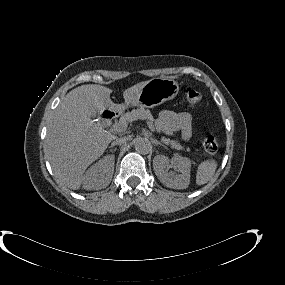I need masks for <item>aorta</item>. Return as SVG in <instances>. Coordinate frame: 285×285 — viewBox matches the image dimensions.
<instances>
[{"instance_id":"1","label":"aorta","mask_w":285,"mask_h":285,"mask_svg":"<svg viewBox=\"0 0 285 285\" xmlns=\"http://www.w3.org/2000/svg\"><path fill=\"white\" fill-rule=\"evenodd\" d=\"M135 150L141 154H148L152 148L151 142L147 138H136L134 143Z\"/></svg>"}]
</instances>
